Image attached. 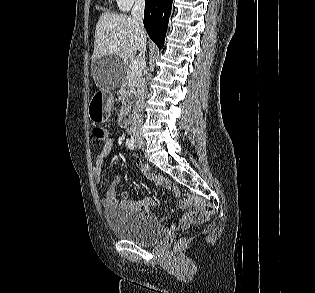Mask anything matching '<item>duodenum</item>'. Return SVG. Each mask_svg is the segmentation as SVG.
I'll use <instances>...</instances> for the list:
<instances>
[{
    "mask_svg": "<svg viewBox=\"0 0 315 293\" xmlns=\"http://www.w3.org/2000/svg\"><path fill=\"white\" fill-rule=\"evenodd\" d=\"M131 122V112L128 107H124L122 109L121 115H120V125L122 127H127Z\"/></svg>",
    "mask_w": 315,
    "mask_h": 293,
    "instance_id": "duodenum-1",
    "label": "duodenum"
}]
</instances>
